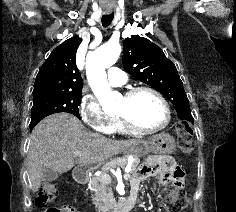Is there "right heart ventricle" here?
Returning a JSON list of instances; mask_svg holds the SVG:
<instances>
[{
  "label": "right heart ventricle",
  "mask_w": 236,
  "mask_h": 212,
  "mask_svg": "<svg viewBox=\"0 0 236 212\" xmlns=\"http://www.w3.org/2000/svg\"><path fill=\"white\" fill-rule=\"evenodd\" d=\"M108 133H119V134H129L130 132L127 131L120 121L117 119V117H113L111 124L108 129Z\"/></svg>",
  "instance_id": "obj_1"
}]
</instances>
